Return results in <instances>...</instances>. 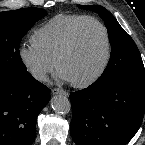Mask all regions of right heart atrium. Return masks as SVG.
I'll list each match as a JSON object with an SVG mask.
<instances>
[{"instance_id":"d8ad5b80","label":"right heart atrium","mask_w":145,"mask_h":145,"mask_svg":"<svg viewBox=\"0 0 145 145\" xmlns=\"http://www.w3.org/2000/svg\"><path fill=\"white\" fill-rule=\"evenodd\" d=\"M18 56L25 70L31 77L40 82L46 81L48 75L54 71L56 66L55 62L33 43L20 45Z\"/></svg>"}]
</instances>
